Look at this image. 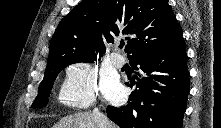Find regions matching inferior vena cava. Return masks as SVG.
<instances>
[{
	"mask_svg": "<svg viewBox=\"0 0 221 128\" xmlns=\"http://www.w3.org/2000/svg\"><path fill=\"white\" fill-rule=\"evenodd\" d=\"M92 114L95 118L96 124L98 128H110L108 118L102 114L99 108H94Z\"/></svg>",
	"mask_w": 221,
	"mask_h": 128,
	"instance_id": "1",
	"label": "inferior vena cava"
}]
</instances>
